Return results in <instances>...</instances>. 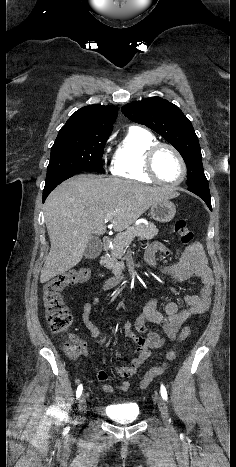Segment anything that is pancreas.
I'll list each match as a JSON object with an SVG mask.
<instances>
[{
  "label": "pancreas",
  "mask_w": 236,
  "mask_h": 467,
  "mask_svg": "<svg viewBox=\"0 0 236 467\" xmlns=\"http://www.w3.org/2000/svg\"><path fill=\"white\" fill-rule=\"evenodd\" d=\"M158 234V229L153 223L148 225L139 224L127 228L125 232L117 234L113 239V247L111 254H107L103 257L104 267L112 270L115 275L121 274L125 266L123 262H118L117 259L122 258L125 254L126 249L130 246L134 237H139L140 240L153 239Z\"/></svg>",
  "instance_id": "1"
}]
</instances>
